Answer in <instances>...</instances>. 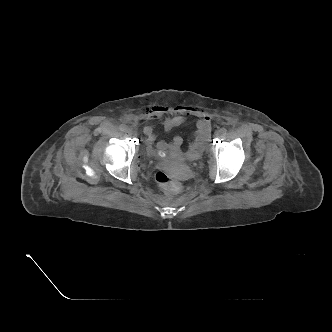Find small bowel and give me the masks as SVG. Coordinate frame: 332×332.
Here are the masks:
<instances>
[{
    "label": "small bowel",
    "instance_id": "obj_1",
    "mask_svg": "<svg viewBox=\"0 0 332 332\" xmlns=\"http://www.w3.org/2000/svg\"><path fill=\"white\" fill-rule=\"evenodd\" d=\"M167 114L161 120V125L165 132H170L173 128L178 127L188 120L190 109L187 106H154L146 113V119H160ZM145 134V143L151 147L156 140L155 126L152 124L146 125L143 129ZM211 134V123L208 118H201L196 121V131L190 147L202 150ZM183 143V139L180 136L173 137L171 142L160 140L156 143V147L159 151H165L168 149H178Z\"/></svg>",
    "mask_w": 332,
    "mask_h": 332
}]
</instances>
